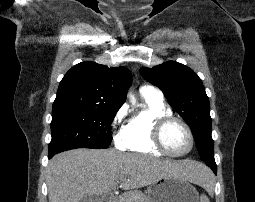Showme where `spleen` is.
<instances>
[{
    "label": "spleen",
    "mask_w": 255,
    "mask_h": 202,
    "mask_svg": "<svg viewBox=\"0 0 255 202\" xmlns=\"http://www.w3.org/2000/svg\"><path fill=\"white\" fill-rule=\"evenodd\" d=\"M200 183L199 185L203 186L208 191H212L214 187L213 175L208 171V169H201L200 172ZM200 202H210L209 198L206 195H201Z\"/></svg>",
    "instance_id": "1"
}]
</instances>
